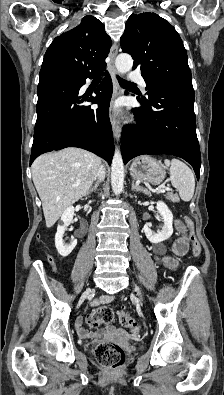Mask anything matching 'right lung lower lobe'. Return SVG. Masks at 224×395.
Masks as SVG:
<instances>
[{"label": "right lung lower lobe", "instance_id": "obj_1", "mask_svg": "<svg viewBox=\"0 0 224 395\" xmlns=\"http://www.w3.org/2000/svg\"><path fill=\"white\" fill-rule=\"evenodd\" d=\"M54 65L40 70L37 88V120L30 165L41 154L65 147L91 151L111 164L114 143L109 120L112 81L106 72L95 97L79 96L86 78ZM84 101L98 103L97 109L81 105Z\"/></svg>", "mask_w": 224, "mask_h": 395}]
</instances>
